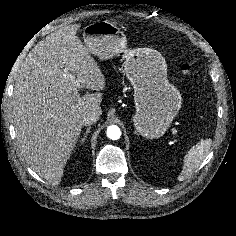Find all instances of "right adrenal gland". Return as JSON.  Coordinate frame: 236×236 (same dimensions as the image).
Here are the masks:
<instances>
[{"instance_id": "2a0ac1e0", "label": "right adrenal gland", "mask_w": 236, "mask_h": 236, "mask_svg": "<svg viewBox=\"0 0 236 236\" xmlns=\"http://www.w3.org/2000/svg\"><path fill=\"white\" fill-rule=\"evenodd\" d=\"M90 129H91V127H88V128L86 129L83 138L80 140L81 144H83V143L85 142V140L87 139V135L89 134Z\"/></svg>"}]
</instances>
